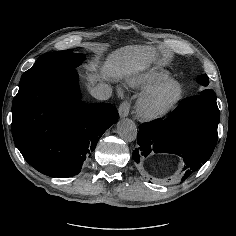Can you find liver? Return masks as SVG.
<instances>
[{
  "instance_id": "1",
  "label": "liver",
  "mask_w": 236,
  "mask_h": 236,
  "mask_svg": "<svg viewBox=\"0 0 236 236\" xmlns=\"http://www.w3.org/2000/svg\"><path fill=\"white\" fill-rule=\"evenodd\" d=\"M151 56V50L149 48L142 47H130L114 53L107 61L103 74L121 75L129 71L139 68L148 58Z\"/></svg>"
}]
</instances>
